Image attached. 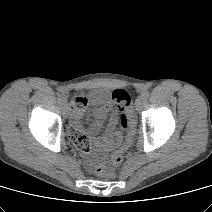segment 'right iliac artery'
I'll use <instances>...</instances> for the list:
<instances>
[{
  "instance_id": "obj_1",
  "label": "right iliac artery",
  "mask_w": 212,
  "mask_h": 212,
  "mask_svg": "<svg viewBox=\"0 0 212 212\" xmlns=\"http://www.w3.org/2000/svg\"><path fill=\"white\" fill-rule=\"evenodd\" d=\"M57 96H58L57 97L58 98V102L62 104V102L64 101L63 95L61 93H58Z\"/></svg>"
}]
</instances>
